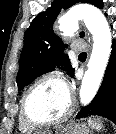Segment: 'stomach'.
<instances>
[{"instance_id":"1","label":"stomach","mask_w":116,"mask_h":134,"mask_svg":"<svg viewBox=\"0 0 116 134\" xmlns=\"http://www.w3.org/2000/svg\"><path fill=\"white\" fill-rule=\"evenodd\" d=\"M44 134H52V132ZM55 134H89V127L86 124H74L58 129Z\"/></svg>"}]
</instances>
